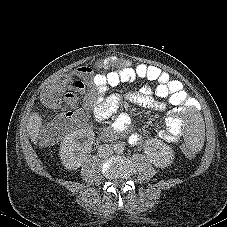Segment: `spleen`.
<instances>
[{
  "label": "spleen",
  "mask_w": 227,
  "mask_h": 227,
  "mask_svg": "<svg viewBox=\"0 0 227 227\" xmlns=\"http://www.w3.org/2000/svg\"><path fill=\"white\" fill-rule=\"evenodd\" d=\"M184 127L185 139L190 145L199 146L205 141V120L200 114H189L184 120Z\"/></svg>",
  "instance_id": "obj_1"
}]
</instances>
